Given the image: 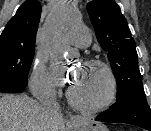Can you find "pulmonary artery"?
I'll list each match as a JSON object with an SVG mask.
<instances>
[{"instance_id":"1","label":"pulmonary artery","mask_w":151,"mask_h":131,"mask_svg":"<svg viewBox=\"0 0 151 131\" xmlns=\"http://www.w3.org/2000/svg\"><path fill=\"white\" fill-rule=\"evenodd\" d=\"M92 41L91 33L84 27H77L71 34V42L75 46L85 48L90 45Z\"/></svg>"}]
</instances>
